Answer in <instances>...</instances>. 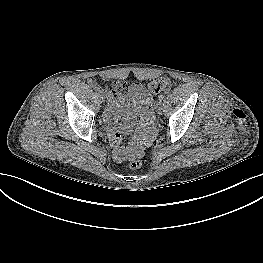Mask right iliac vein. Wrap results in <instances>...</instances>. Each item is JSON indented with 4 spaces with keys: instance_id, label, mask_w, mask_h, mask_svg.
I'll return each mask as SVG.
<instances>
[{
    "instance_id": "right-iliac-vein-1",
    "label": "right iliac vein",
    "mask_w": 263,
    "mask_h": 263,
    "mask_svg": "<svg viewBox=\"0 0 263 263\" xmlns=\"http://www.w3.org/2000/svg\"><path fill=\"white\" fill-rule=\"evenodd\" d=\"M98 96H99V98H100L102 101H105V100L107 99V96H106V94H105L104 92L98 93Z\"/></svg>"
}]
</instances>
